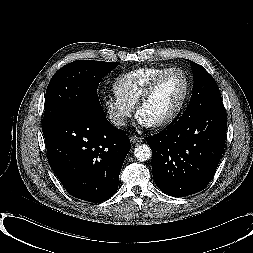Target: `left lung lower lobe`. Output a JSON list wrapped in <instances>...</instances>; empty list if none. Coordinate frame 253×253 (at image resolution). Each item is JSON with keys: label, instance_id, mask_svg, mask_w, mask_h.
Here are the masks:
<instances>
[{"label": "left lung lower lobe", "instance_id": "1", "mask_svg": "<svg viewBox=\"0 0 253 253\" xmlns=\"http://www.w3.org/2000/svg\"><path fill=\"white\" fill-rule=\"evenodd\" d=\"M227 116L222 102L180 117L168 129L150 136L152 173L157 187L174 197L203 190L221 159Z\"/></svg>", "mask_w": 253, "mask_h": 253}]
</instances>
